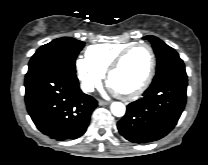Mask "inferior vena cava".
Instances as JSON below:
<instances>
[{
  "mask_svg": "<svg viewBox=\"0 0 208 165\" xmlns=\"http://www.w3.org/2000/svg\"><path fill=\"white\" fill-rule=\"evenodd\" d=\"M81 89L83 92H93L94 91V85L92 83H83L81 85Z\"/></svg>",
  "mask_w": 208,
  "mask_h": 165,
  "instance_id": "obj_1",
  "label": "inferior vena cava"
}]
</instances>
